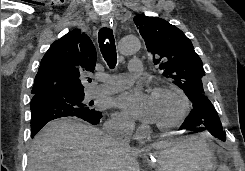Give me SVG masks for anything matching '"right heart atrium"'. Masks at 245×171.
<instances>
[{
	"label": "right heart atrium",
	"mask_w": 245,
	"mask_h": 171,
	"mask_svg": "<svg viewBox=\"0 0 245 171\" xmlns=\"http://www.w3.org/2000/svg\"><path fill=\"white\" fill-rule=\"evenodd\" d=\"M110 125L115 130L130 132L132 131L134 125L133 122L122 114H114Z\"/></svg>",
	"instance_id": "d8ad5b80"
}]
</instances>
